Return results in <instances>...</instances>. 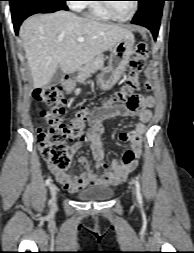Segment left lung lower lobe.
<instances>
[{
    "label": "left lung lower lobe",
    "mask_w": 194,
    "mask_h": 253,
    "mask_svg": "<svg viewBox=\"0 0 194 253\" xmlns=\"http://www.w3.org/2000/svg\"><path fill=\"white\" fill-rule=\"evenodd\" d=\"M166 0H144L139 3V9L132 23L147 27L153 34L154 40L158 35L162 16L163 3Z\"/></svg>",
    "instance_id": "obj_1"
}]
</instances>
